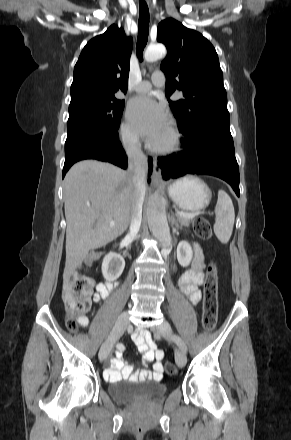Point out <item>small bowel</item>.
I'll use <instances>...</instances> for the list:
<instances>
[{"label":"small bowel","mask_w":291,"mask_h":440,"mask_svg":"<svg viewBox=\"0 0 291 440\" xmlns=\"http://www.w3.org/2000/svg\"><path fill=\"white\" fill-rule=\"evenodd\" d=\"M205 268V260L201 247L197 242H193V261L192 266L180 278L181 291L188 297L191 303L197 304L202 298L200 286L203 284ZM114 285L111 283H101L96 287L95 300L106 298L113 290ZM81 326H87L89 320L86 316L78 319ZM133 340L139 347V351L143 354V364L146 366L153 362V370L138 371L133 365L127 364L119 352L110 360V366L105 370L104 377L108 380H119L121 378L129 380H150L159 378L163 373V364L161 359L162 352L157 349L155 342L146 331H140L133 335Z\"/></svg>","instance_id":"c3829d8e"}]
</instances>
